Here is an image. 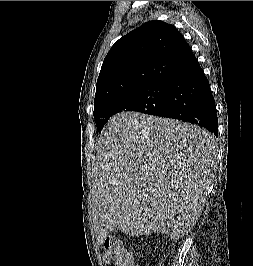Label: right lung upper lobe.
<instances>
[{
    "mask_svg": "<svg viewBox=\"0 0 253 266\" xmlns=\"http://www.w3.org/2000/svg\"><path fill=\"white\" fill-rule=\"evenodd\" d=\"M196 62L173 25L149 21L119 39L108 52L97 80L94 105L149 83L170 82Z\"/></svg>",
    "mask_w": 253,
    "mask_h": 266,
    "instance_id": "cb5924a9",
    "label": "right lung upper lobe"
}]
</instances>
